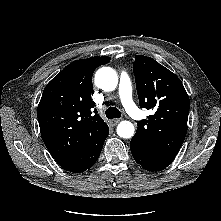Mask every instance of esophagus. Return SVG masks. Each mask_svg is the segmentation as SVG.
I'll return each instance as SVG.
<instances>
[{
  "instance_id": "1",
  "label": "esophagus",
  "mask_w": 221,
  "mask_h": 221,
  "mask_svg": "<svg viewBox=\"0 0 221 221\" xmlns=\"http://www.w3.org/2000/svg\"><path fill=\"white\" fill-rule=\"evenodd\" d=\"M120 121H121V119H113V120H110V125L114 127V126H116Z\"/></svg>"
}]
</instances>
